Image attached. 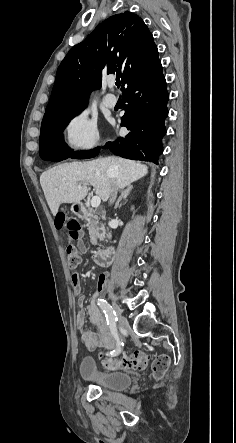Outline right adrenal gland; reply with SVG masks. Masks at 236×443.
I'll use <instances>...</instances> for the list:
<instances>
[{
  "label": "right adrenal gland",
  "instance_id": "right-adrenal-gland-1",
  "mask_svg": "<svg viewBox=\"0 0 236 443\" xmlns=\"http://www.w3.org/2000/svg\"><path fill=\"white\" fill-rule=\"evenodd\" d=\"M132 188H133L132 185H128L127 188L122 191L121 196L119 197V199L117 200V202L115 204V207H114L115 209L119 208V204H120L121 200L127 198V196L130 194Z\"/></svg>",
  "mask_w": 236,
  "mask_h": 443
}]
</instances>
